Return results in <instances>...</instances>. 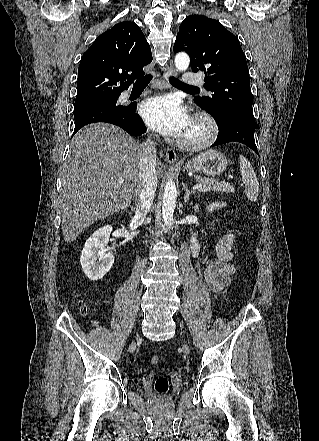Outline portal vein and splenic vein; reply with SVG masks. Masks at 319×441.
<instances>
[{
    "instance_id": "portal-vein-and-splenic-vein-1",
    "label": "portal vein and splenic vein",
    "mask_w": 319,
    "mask_h": 441,
    "mask_svg": "<svg viewBox=\"0 0 319 441\" xmlns=\"http://www.w3.org/2000/svg\"><path fill=\"white\" fill-rule=\"evenodd\" d=\"M118 182H119V183H123V182H124V179H123L122 177H120V178L118 179ZM201 188H202V185H201V184H196V185L193 186V190H200Z\"/></svg>"
}]
</instances>
